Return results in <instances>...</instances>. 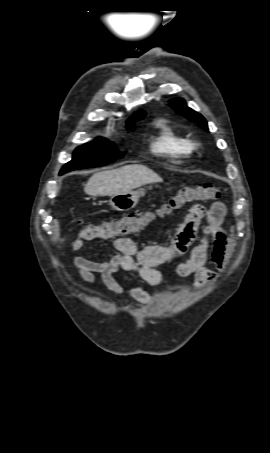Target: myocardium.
<instances>
[{
    "label": "myocardium",
    "mask_w": 270,
    "mask_h": 453,
    "mask_svg": "<svg viewBox=\"0 0 270 453\" xmlns=\"http://www.w3.org/2000/svg\"><path fill=\"white\" fill-rule=\"evenodd\" d=\"M191 147H193V148H197V147H199V143H197V142H194V143H192V144H191Z\"/></svg>",
    "instance_id": "myocardium-1"
}]
</instances>
